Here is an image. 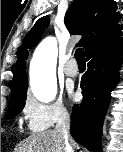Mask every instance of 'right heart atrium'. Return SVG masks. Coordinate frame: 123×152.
Here are the masks:
<instances>
[{"mask_svg": "<svg viewBox=\"0 0 123 152\" xmlns=\"http://www.w3.org/2000/svg\"><path fill=\"white\" fill-rule=\"evenodd\" d=\"M23 115L32 132L45 131L56 123L69 118V110L60 100L53 103H42L28 97L23 106Z\"/></svg>", "mask_w": 123, "mask_h": 152, "instance_id": "1", "label": "right heart atrium"}]
</instances>
